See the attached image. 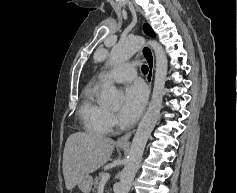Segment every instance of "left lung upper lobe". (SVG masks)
Returning <instances> with one entry per match:
<instances>
[{
    "mask_svg": "<svg viewBox=\"0 0 237 193\" xmlns=\"http://www.w3.org/2000/svg\"><path fill=\"white\" fill-rule=\"evenodd\" d=\"M144 31L150 36H153V37L155 36L152 28L148 24L144 25Z\"/></svg>",
    "mask_w": 237,
    "mask_h": 193,
    "instance_id": "5c2ea615",
    "label": "left lung upper lobe"
}]
</instances>
